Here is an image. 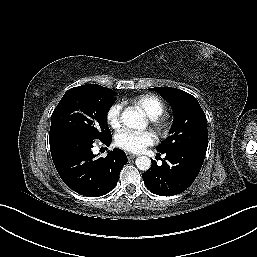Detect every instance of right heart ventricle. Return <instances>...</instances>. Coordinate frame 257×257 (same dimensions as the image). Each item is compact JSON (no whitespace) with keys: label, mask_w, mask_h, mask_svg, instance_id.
I'll return each mask as SVG.
<instances>
[{"label":"right heart ventricle","mask_w":257,"mask_h":257,"mask_svg":"<svg viewBox=\"0 0 257 257\" xmlns=\"http://www.w3.org/2000/svg\"><path fill=\"white\" fill-rule=\"evenodd\" d=\"M132 103L150 119L158 117L165 109V103L162 98L151 93L134 98Z\"/></svg>","instance_id":"1"}]
</instances>
